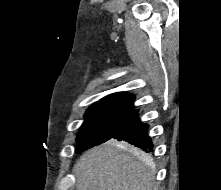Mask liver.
<instances>
[{
  "label": "liver",
  "instance_id": "6515ba94",
  "mask_svg": "<svg viewBox=\"0 0 221 190\" xmlns=\"http://www.w3.org/2000/svg\"><path fill=\"white\" fill-rule=\"evenodd\" d=\"M73 173L77 190H157L151 158L114 140L84 153Z\"/></svg>",
  "mask_w": 221,
  "mask_h": 190
}]
</instances>
